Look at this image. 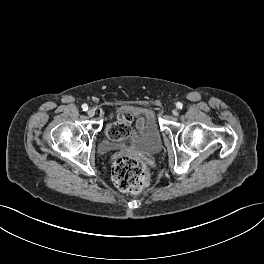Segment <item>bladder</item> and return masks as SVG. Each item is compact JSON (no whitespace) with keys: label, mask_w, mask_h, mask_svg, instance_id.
<instances>
[{"label":"bladder","mask_w":264,"mask_h":264,"mask_svg":"<svg viewBox=\"0 0 264 264\" xmlns=\"http://www.w3.org/2000/svg\"><path fill=\"white\" fill-rule=\"evenodd\" d=\"M136 119L142 120L140 128H132L129 133L120 139H108L101 142L99 149L102 153H108L118 149L127 148L136 153L151 156L162 149V136L153 111L146 108L135 107L131 110Z\"/></svg>","instance_id":"obj_1"}]
</instances>
